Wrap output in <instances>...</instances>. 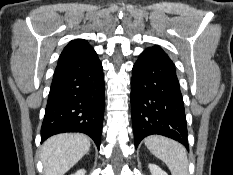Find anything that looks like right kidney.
Masks as SVG:
<instances>
[{
	"mask_svg": "<svg viewBox=\"0 0 233 175\" xmlns=\"http://www.w3.org/2000/svg\"><path fill=\"white\" fill-rule=\"evenodd\" d=\"M86 171L84 169L78 170L75 174L72 175H85Z\"/></svg>",
	"mask_w": 233,
	"mask_h": 175,
	"instance_id": "1",
	"label": "right kidney"
}]
</instances>
